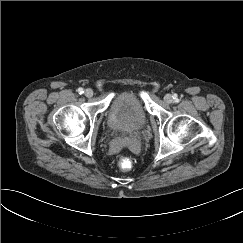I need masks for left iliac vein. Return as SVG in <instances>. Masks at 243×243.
Segmentation results:
<instances>
[{
	"mask_svg": "<svg viewBox=\"0 0 243 243\" xmlns=\"http://www.w3.org/2000/svg\"><path fill=\"white\" fill-rule=\"evenodd\" d=\"M164 101H165L166 103H168V104H171V103L173 102V97H172V95H171V94H166V95L164 96Z\"/></svg>",
	"mask_w": 243,
	"mask_h": 243,
	"instance_id": "1",
	"label": "left iliac vein"
}]
</instances>
